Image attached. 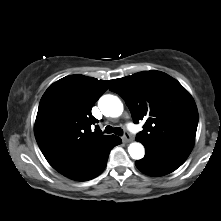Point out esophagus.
<instances>
[{
    "instance_id": "34e87169",
    "label": "esophagus",
    "mask_w": 221,
    "mask_h": 221,
    "mask_svg": "<svg viewBox=\"0 0 221 221\" xmlns=\"http://www.w3.org/2000/svg\"><path fill=\"white\" fill-rule=\"evenodd\" d=\"M123 142L127 143L131 141V136L129 133L125 132L123 137H122Z\"/></svg>"
}]
</instances>
